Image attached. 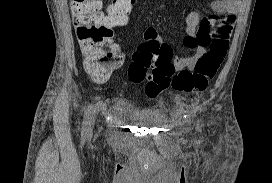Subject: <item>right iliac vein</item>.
<instances>
[{
  "label": "right iliac vein",
  "instance_id": "1",
  "mask_svg": "<svg viewBox=\"0 0 272 183\" xmlns=\"http://www.w3.org/2000/svg\"><path fill=\"white\" fill-rule=\"evenodd\" d=\"M94 119H95V113H93V114L91 115V117H90V125L93 124Z\"/></svg>",
  "mask_w": 272,
  "mask_h": 183
}]
</instances>
